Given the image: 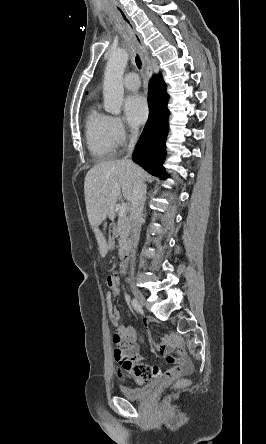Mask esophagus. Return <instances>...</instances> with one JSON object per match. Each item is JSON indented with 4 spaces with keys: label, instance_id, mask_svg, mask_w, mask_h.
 Instances as JSON below:
<instances>
[{
    "label": "esophagus",
    "instance_id": "34e87169",
    "mask_svg": "<svg viewBox=\"0 0 266 444\" xmlns=\"http://www.w3.org/2000/svg\"><path fill=\"white\" fill-rule=\"evenodd\" d=\"M115 8L116 11L118 13V15L120 16V18L122 19V21L125 24V27L129 33V35L131 36V38L134 40L136 46L138 47L141 57H142V61H143V67L145 69L146 75L148 77V79L151 78L152 76V66L150 63V59L147 53V50L144 46V43L142 41L141 36L137 33L132 21L130 20V18L127 16V14L125 13V11L123 10V8L118 5L117 3H115Z\"/></svg>",
    "mask_w": 266,
    "mask_h": 444
}]
</instances>
